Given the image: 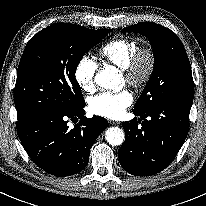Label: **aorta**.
Here are the masks:
<instances>
[{"label": "aorta", "instance_id": "1", "mask_svg": "<svg viewBox=\"0 0 206 206\" xmlns=\"http://www.w3.org/2000/svg\"><path fill=\"white\" fill-rule=\"evenodd\" d=\"M95 83L105 89H114L119 81L118 70L114 67L103 69L95 76ZM105 139L112 146L121 145L124 142L125 134L118 127H110L105 132Z\"/></svg>", "mask_w": 206, "mask_h": 206}]
</instances>
